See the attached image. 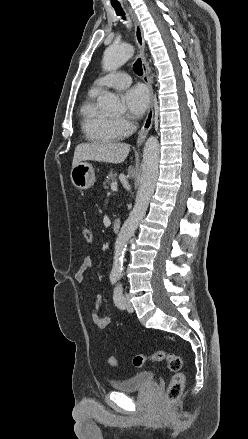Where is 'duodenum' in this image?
I'll list each match as a JSON object with an SVG mask.
<instances>
[{"instance_id":"1","label":"duodenum","mask_w":248,"mask_h":439,"mask_svg":"<svg viewBox=\"0 0 248 439\" xmlns=\"http://www.w3.org/2000/svg\"><path fill=\"white\" fill-rule=\"evenodd\" d=\"M122 227V221L120 218H115L112 222V230L114 232H119Z\"/></svg>"}]
</instances>
